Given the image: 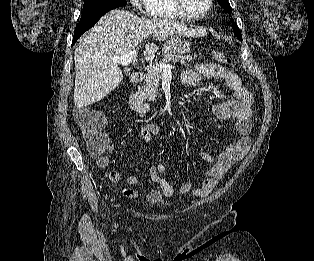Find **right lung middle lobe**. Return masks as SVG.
I'll use <instances>...</instances> for the list:
<instances>
[{
    "mask_svg": "<svg viewBox=\"0 0 314 261\" xmlns=\"http://www.w3.org/2000/svg\"><path fill=\"white\" fill-rule=\"evenodd\" d=\"M125 4L126 0H85L80 23L89 21Z\"/></svg>",
    "mask_w": 314,
    "mask_h": 261,
    "instance_id": "dd1d6c3e",
    "label": "right lung middle lobe"
}]
</instances>
